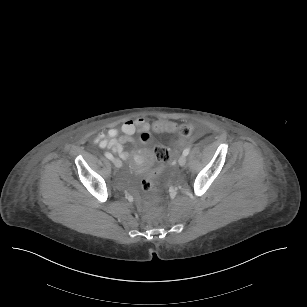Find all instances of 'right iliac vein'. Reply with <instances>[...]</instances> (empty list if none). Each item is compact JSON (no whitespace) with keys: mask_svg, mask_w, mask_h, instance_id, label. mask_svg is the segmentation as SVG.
Instances as JSON below:
<instances>
[{"mask_svg":"<svg viewBox=\"0 0 307 307\" xmlns=\"http://www.w3.org/2000/svg\"><path fill=\"white\" fill-rule=\"evenodd\" d=\"M112 162H113L114 166L117 167V168H120L122 166V162L118 158H113Z\"/></svg>","mask_w":307,"mask_h":307,"instance_id":"1","label":"right iliac vein"}]
</instances>
